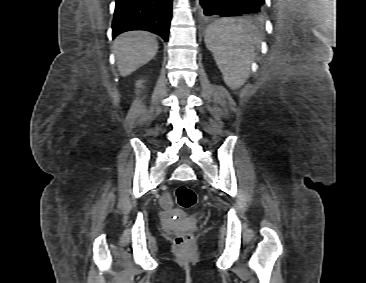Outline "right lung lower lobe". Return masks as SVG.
Segmentation results:
<instances>
[{"label": "right lung lower lobe", "instance_id": "98d812e1", "mask_svg": "<svg viewBox=\"0 0 366 283\" xmlns=\"http://www.w3.org/2000/svg\"><path fill=\"white\" fill-rule=\"evenodd\" d=\"M172 0H116L113 39L130 30H147L168 41Z\"/></svg>", "mask_w": 366, "mask_h": 283}]
</instances>
